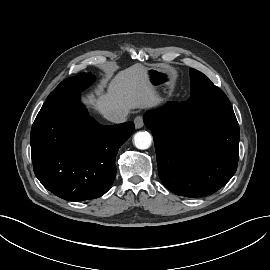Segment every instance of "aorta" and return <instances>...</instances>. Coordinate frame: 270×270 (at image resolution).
Listing matches in <instances>:
<instances>
[{
  "instance_id": "aorta-1",
  "label": "aorta",
  "mask_w": 270,
  "mask_h": 270,
  "mask_svg": "<svg viewBox=\"0 0 270 270\" xmlns=\"http://www.w3.org/2000/svg\"><path fill=\"white\" fill-rule=\"evenodd\" d=\"M152 137L150 133L146 131H139L134 135V145L136 148L145 150L151 145Z\"/></svg>"
}]
</instances>
